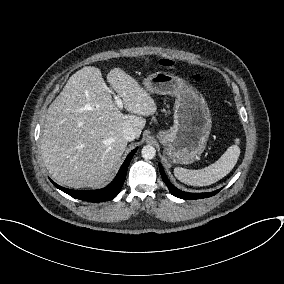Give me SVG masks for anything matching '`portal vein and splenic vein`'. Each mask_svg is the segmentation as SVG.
<instances>
[{
    "label": "portal vein and splenic vein",
    "instance_id": "portal-vein-and-splenic-vein-1",
    "mask_svg": "<svg viewBox=\"0 0 284 284\" xmlns=\"http://www.w3.org/2000/svg\"><path fill=\"white\" fill-rule=\"evenodd\" d=\"M114 99L116 102V105L119 109L123 108V101L121 100V98L118 95H114Z\"/></svg>",
    "mask_w": 284,
    "mask_h": 284
}]
</instances>
